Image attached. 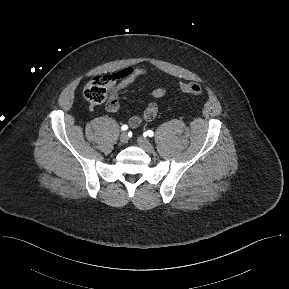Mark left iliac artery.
Wrapping results in <instances>:
<instances>
[{"label":"left iliac artery","instance_id":"44dca946","mask_svg":"<svg viewBox=\"0 0 289 289\" xmlns=\"http://www.w3.org/2000/svg\"><path fill=\"white\" fill-rule=\"evenodd\" d=\"M145 134L148 135L149 137H153L154 132L152 130H148V131H146Z\"/></svg>","mask_w":289,"mask_h":289}]
</instances>
